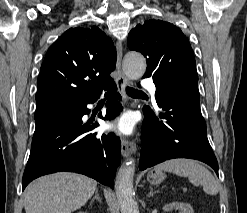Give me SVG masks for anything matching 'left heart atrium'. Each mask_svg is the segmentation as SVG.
Segmentation results:
<instances>
[{
  "mask_svg": "<svg viewBox=\"0 0 247 213\" xmlns=\"http://www.w3.org/2000/svg\"><path fill=\"white\" fill-rule=\"evenodd\" d=\"M110 129L123 135H129L133 130V122L129 116H123L113 123Z\"/></svg>",
  "mask_w": 247,
  "mask_h": 213,
  "instance_id": "left-heart-atrium-1",
  "label": "left heart atrium"
}]
</instances>
